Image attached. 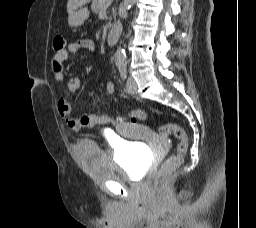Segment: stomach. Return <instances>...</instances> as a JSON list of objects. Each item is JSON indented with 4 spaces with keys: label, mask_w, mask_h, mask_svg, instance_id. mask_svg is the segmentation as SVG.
Listing matches in <instances>:
<instances>
[{
    "label": "stomach",
    "mask_w": 256,
    "mask_h": 228,
    "mask_svg": "<svg viewBox=\"0 0 256 228\" xmlns=\"http://www.w3.org/2000/svg\"><path fill=\"white\" fill-rule=\"evenodd\" d=\"M89 17V10L87 7H81L69 14L68 23L71 27H79L83 25L84 21Z\"/></svg>",
    "instance_id": "stomach-1"
}]
</instances>
